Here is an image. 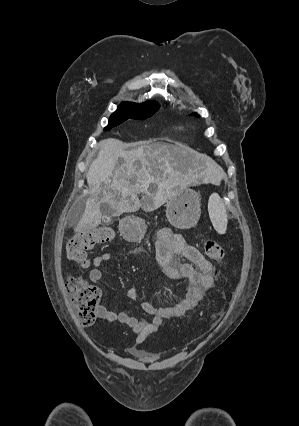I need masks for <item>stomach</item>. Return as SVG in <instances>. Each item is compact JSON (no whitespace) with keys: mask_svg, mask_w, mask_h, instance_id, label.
Returning a JSON list of instances; mask_svg holds the SVG:
<instances>
[{"mask_svg":"<svg viewBox=\"0 0 299 426\" xmlns=\"http://www.w3.org/2000/svg\"><path fill=\"white\" fill-rule=\"evenodd\" d=\"M201 214L199 194L190 188L175 191L166 206V216L169 223L179 229H189L195 226ZM146 231L144 222L138 218L127 219L123 232L130 241L142 239Z\"/></svg>","mask_w":299,"mask_h":426,"instance_id":"1","label":"stomach"}]
</instances>
